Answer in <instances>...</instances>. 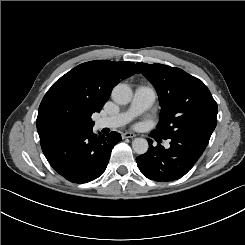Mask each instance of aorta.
<instances>
[{
	"label": "aorta",
	"instance_id": "obj_1",
	"mask_svg": "<svg viewBox=\"0 0 245 245\" xmlns=\"http://www.w3.org/2000/svg\"><path fill=\"white\" fill-rule=\"evenodd\" d=\"M112 98L118 104H128L132 99V90L127 84H118L113 88ZM148 142L144 138H135L132 148L136 154H145L148 150Z\"/></svg>",
	"mask_w": 245,
	"mask_h": 245
}]
</instances>
